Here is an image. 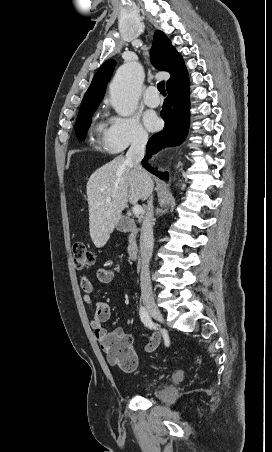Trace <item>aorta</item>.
Wrapping results in <instances>:
<instances>
[{
	"label": "aorta",
	"instance_id": "1",
	"mask_svg": "<svg viewBox=\"0 0 272 452\" xmlns=\"http://www.w3.org/2000/svg\"><path fill=\"white\" fill-rule=\"evenodd\" d=\"M142 81L143 70L136 62L117 70L110 84V103L118 115L128 117L136 111Z\"/></svg>",
	"mask_w": 272,
	"mask_h": 452
}]
</instances>
